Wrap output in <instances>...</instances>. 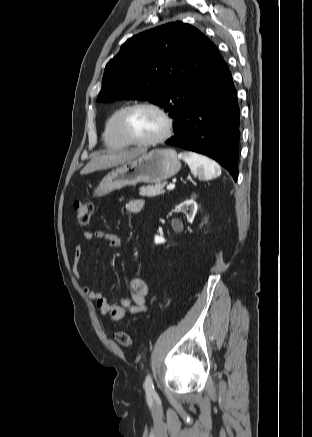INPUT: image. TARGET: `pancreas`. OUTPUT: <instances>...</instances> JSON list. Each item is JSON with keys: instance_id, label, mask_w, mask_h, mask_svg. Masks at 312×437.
<instances>
[{"instance_id": "pancreas-1", "label": "pancreas", "mask_w": 312, "mask_h": 437, "mask_svg": "<svg viewBox=\"0 0 312 437\" xmlns=\"http://www.w3.org/2000/svg\"><path fill=\"white\" fill-rule=\"evenodd\" d=\"M165 186V183H159L156 184L155 186H142L140 188V192L139 194L141 196H146V197H155L158 195H162L165 193V191L163 190V187Z\"/></svg>"}]
</instances>
